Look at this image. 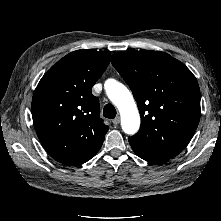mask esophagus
Segmentation results:
<instances>
[{
	"label": "esophagus",
	"mask_w": 221,
	"mask_h": 221,
	"mask_svg": "<svg viewBox=\"0 0 221 221\" xmlns=\"http://www.w3.org/2000/svg\"><path fill=\"white\" fill-rule=\"evenodd\" d=\"M114 125H118L120 123V117H116L115 119L112 120Z\"/></svg>",
	"instance_id": "esophagus-1"
}]
</instances>
